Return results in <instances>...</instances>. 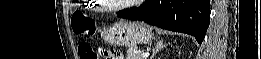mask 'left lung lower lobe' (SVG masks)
I'll return each mask as SVG.
<instances>
[{
	"mask_svg": "<svg viewBox=\"0 0 261 59\" xmlns=\"http://www.w3.org/2000/svg\"><path fill=\"white\" fill-rule=\"evenodd\" d=\"M210 0H146L118 17L142 20L166 30L187 33L202 43L210 22Z\"/></svg>",
	"mask_w": 261,
	"mask_h": 59,
	"instance_id": "1",
	"label": "left lung lower lobe"
}]
</instances>
